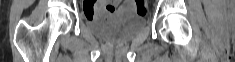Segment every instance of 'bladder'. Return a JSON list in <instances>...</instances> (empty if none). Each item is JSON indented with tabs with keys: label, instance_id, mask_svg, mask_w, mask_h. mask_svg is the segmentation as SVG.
<instances>
[{
	"label": "bladder",
	"instance_id": "31cf9c89",
	"mask_svg": "<svg viewBox=\"0 0 235 62\" xmlns=\"http://www.w3.org/2000/svg\"><path fill=\"white\" fill-rule=\"evenodd\" d=\"M87 27L97 36L120 42L133 37L146 25V17L132 7H122L99 20H86Z\"/></svg>",
	"mask_w": 235,
	"mask_h": 62
}]
</instances>
